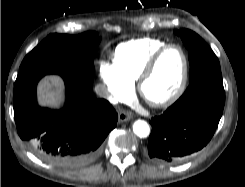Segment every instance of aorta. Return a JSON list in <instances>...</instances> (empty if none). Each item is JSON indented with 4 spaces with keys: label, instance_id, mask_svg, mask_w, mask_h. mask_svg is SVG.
Listing matches in <instances>:
<instances>
[{
    "label": "aorta",
    "instance_id": "762f6f07",
    "mask_svg": "<svg viewBox=\"0 0 245 187\" xmlns=\"http://www.w3.org/2000/svg\"><path fill=\"white\" fill-rule=\"evenodd\" d=\"M133 131L138 137L144 138L149 135L150 128L147 122L143 120H137L133 124Z\"/></svg>",
    "mask_w": 245,
    "mask_h": 187
}]
</instances>
